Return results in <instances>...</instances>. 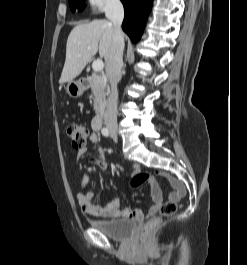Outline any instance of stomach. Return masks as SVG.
Returning <instances> with one entry per match:
<instances>
[{"mask_svg": "<svg viewBox=\"0 0 247 265\" xmlns=\"http://www.w3.org/2000/svg\"><path fill=\"white\" fill-rule=\"evenodd\" d=\"M86 90V86L82 80L70 81L67 85L66 91L68 95L72 98L80 97L84 91Z\"/></svg>", "mask_w": 247, "mask_h": 265, "instance_id": "stomach-1", "label": "stomach"}]
</instances>
